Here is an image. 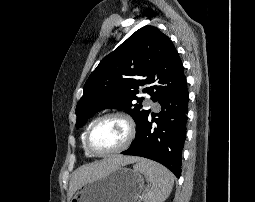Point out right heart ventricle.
Wrapping results in <instances>:
<instances>
[{
    "label": "right heart ventricle",
    "mask_w": 255,
    "mask_h": 202,
    "mask_svg": "<svg viewBox=\"0 0 255 202\" xmlns=\"http://www.w3.org/2000/svg\"><path fill=\"white\" fill-rule=\"evenodd\" d=\"M85 133H86V132H84V134H83V136H82V143H83V148H84L85 152L88 154L89 152L87 151V149H86V147H85V144H84Z\"/></svg>",
    "instance_id": "e07e8e85"
}]
</instances>
